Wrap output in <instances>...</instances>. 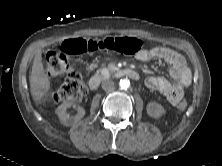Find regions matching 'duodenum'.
I'll list each match as a JSON object with an SVG mask.
<instances>
[{"label": "duodenum", "mask_w": 222, "mask_h": 166, "mask_svg": "<svg viewBox=\"0 0 222 166\" xmlns=\"http://www.w3.org/2000/svg\"><path fill=\"white\" fill-rule=\"evenodd\" d=\"M119 74L123 75V76H127V77L135 79V80L139 78V75L136 71H134L132 69H127V68L121 69L119 71ZM100 82H101V77L99 75H93L88 80V88L90 90H96L99 87Z\"/></svg>", "instance_id": "duodenum-1"}]
</instances>
